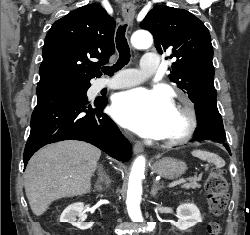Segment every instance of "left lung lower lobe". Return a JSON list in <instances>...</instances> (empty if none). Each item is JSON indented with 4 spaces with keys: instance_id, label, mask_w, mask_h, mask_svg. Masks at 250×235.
<instances>
[{
    "instance_id": "0a47b994",
    "label": "left lung lower lobe",
    "mask_w": 250,
    "mask_h": 235,
    "mask_svg": "<svg viewBox=\"0 0 250 235\" xmlns=\"http://www.w3.org/2000/svg\"><path fill=\"white\" fill-rule=\"evenodd\" d=\"M197 109V119L199 127L196 129L197 137L195 141L203 142L207 140L223 143L225 132L221 115L217 108L216 97L207 98L195 103ZM230 153L229 148L224 144ZM231 154V153H230Z\"/></svg>"
}]
</instances>
